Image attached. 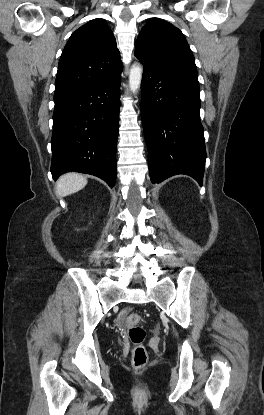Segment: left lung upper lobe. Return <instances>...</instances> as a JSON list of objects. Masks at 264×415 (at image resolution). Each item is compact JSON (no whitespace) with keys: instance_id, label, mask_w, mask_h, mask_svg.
Returning <instances> with one entry per match:
<instances>
[{"instance_id":"1","label":"left lung upper lobe","mask_w":264,"mask_h":415,"mask_svg":"<svg viewBox=\"0 0 264 415\" xmlns=\"http://www.w3.org/2000/svg\"><path fill=\"white\" fill-rule=\"evenodd\" d=\"M135 56L145 68L198 79L194 56L183 33L171 23L152 18L141 30Z\"/></svg>"}]
</instances>
